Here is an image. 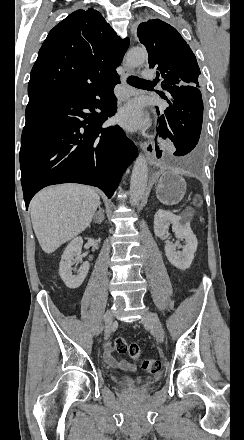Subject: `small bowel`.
<instances>
[{
    "label": "small bowel",
    "mask_w": 244,
    "mask_h": 440,
    "mask_svg": "<svg viewBox=\"0 0 244 440\" xmlns=\"http://www.w3.org/2000/svg\"><path fill=\"white\" fill-rule=\"evenodd\" d=\"M105 361L113 368H117L121 371H134L135 366L126 360L118 361L113 357L112 347L107 346L104 352Z\"/></svg>",
    "instance_id": "c3829d8e"
}]
</instances>
